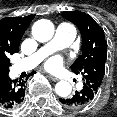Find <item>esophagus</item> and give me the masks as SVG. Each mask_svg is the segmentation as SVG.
Segmentation results:
<instances>
[{
    "instance_id": "esophagus-1",
    "label": "esophagus",
    "mask_w": 117,
    "mask_h": 117,
    "mask_svg": "<svg viewBox=\"0 0 117 117\" xmlns=\"http://www.w3.org/2000/svg\"><path fill=\"white\" fill-rule=\"evenodd\" d=\"M49 78H50L52 81H54V82L59 81V79H58L57 77H54V76H52V75H49Z\"/></svg>"
}]
</instances>
